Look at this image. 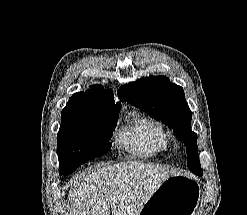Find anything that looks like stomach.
<instances>
[{
	"label": "stomach",
	"mask_w": 247,
	"mask_h": 215,
	"mask_svg": "<svg viewBox=\"0 0 247 215\" xmlns=\"http://www.w3.org/2000/svg\"><path fill=\"white\" fill-rule=\"evenodd\" d=\"M200 186L184 175L170 176L143 204L138 215H195Z\"/></svg>",
	"instance_id": "1"
}]
</instances>
